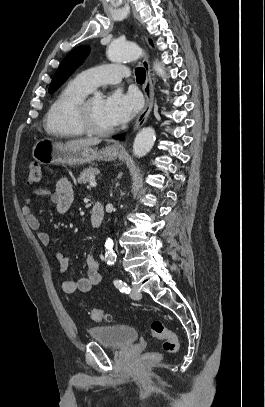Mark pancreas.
Masks as SVG:
<instances>
[{
    "label": "pancreas",
    "instance_id": "pancreas-1",
    "mask_svg": "<svg viewBox=\"0 0 265 407\" xmlns=\"http://www.w3.org/2000/svg\"><path fill=\"white\" fill-rule=\"evenodd\" d=\"M99 173V170L97 168H87L84 169L81 173L80 176L78 177L77 181L78 183H87V182H91L92 180H94V176L97 175Z\"/></svg>",
    "mask_w": 265,
    "mask_h": 407
}]
</instances>
